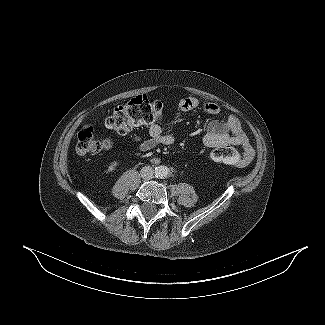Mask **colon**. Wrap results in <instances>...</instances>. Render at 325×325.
Returning <instances> with one entry per match:
<instances>
[{
    "label": "colon",
    "mask_w": 325,
    "mask_h": 325,
    "mask_svg": "<svg viewBox=\"0 0 325 325\" xmlns=\"http://www.w3.org/2000/svg\"><path fill=\"white\" fill-rule=\"evenodd\" d=\"M164 110L162 102L139 95L115 107L105 125L115 134H126L133 127L157 123L162 119ZM109 147L110 141L98 138L92 126L83 127L77 134L76 151L80 155L95 154ZM210 157L213 162L225 165H238L241 160L238 151L230 145L215 147Z\"/></svg>",
    "instance_id": "5ec220e1"
}]
</instances>
